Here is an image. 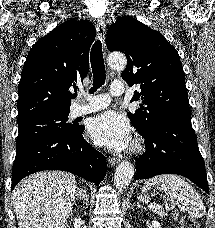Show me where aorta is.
<instances>
[{"mask_svg": "<svg viewBox=\"0 0 215 228\" xmlns=\"http://www.w3.org/2000/svg\"><path fill=\"white\" fill-rule=\"evenodd\" d=\"M108 66L113 70H125L127 60L123 54H109ZM134 166L130 162H123L116 168L114 176V186L119 192H123L126 186H129L131 180L134 178Z\"/></svg>", "mask_w": 215, "mask_h": 228, "instance_id": "1", "label": "aorta"}]
</instances>
